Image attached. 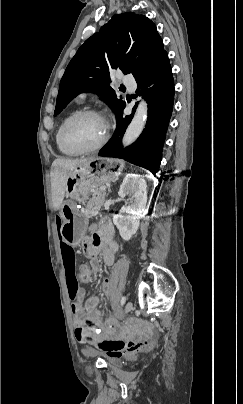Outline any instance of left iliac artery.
Segmentation results:
<instances>
[{"instance_id":"1","label":"left iliac artery","mask_w":243,"mask_h":404,"mask_svg":"<svg viewBox=\"0 0 243 404\" xmlns=\"http://www.w3.org/2000/svg\"><path fill=\"white\" fill-rule=\"evenodd\" d=\"M125 302H126V296H123L120 301L121 306H123Z\"/></svg>"}]
</instances>
